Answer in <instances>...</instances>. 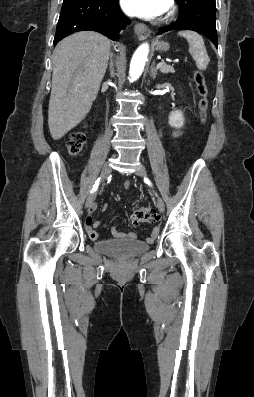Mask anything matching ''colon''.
I'll return each mask as SVG.
<instances>
[{
    "label": "colon",
    "mask_w": 254,
    "mask_h": 397,
    "mask_svg": "<svg viewBox=\"0 0 254 397\" xmlns=\"http://www.w3.org/2000/svg\"><path fill=\"white\" fill-rule=\"evenodd\" d=\"M194 82L196 85V89L200 96L198 101V109H199V117L201 122H205L207 118L208 111V89L206 86L205 77L202 72L196 71L194 73ZM87 142V135L84 127L73 131L67 141V150L70 155L77 156L79 155ZM132 221L135 224L141 223H153L158 220L157 214L153 209L149 207H138L132 211L131 214Z\"/></svg>",
    "instance_id": "obj_1"
}]
</instances>
